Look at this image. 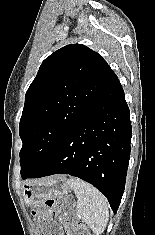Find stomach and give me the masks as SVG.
<instances>
[{"mask_svg": "<svg viewBox=\"0 0 155 235\" xmlns=\"http://www.w3.org/2000/svg\"><path fill=\"white\" fill-rule=\"evenodd\" d=\"M69 190L68 181L64 176H53L25 184L22 193L25 204L34 205L52 198L64 196Z\"/></svg>", "mask_w": 155, "mask_h": 235, "instance_id": "stomach-1", "label": "stomach"}]
</instances>
